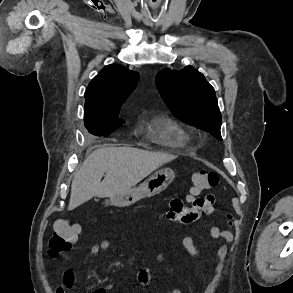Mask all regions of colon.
Here are the masks:
<instances>
[{
  "mask_svg": "<svg viewBox=\"0 0 293 293\" xmlns=\"http://www.w3.org/2000/svg\"><path fill=\"white\" fill-rule=\"evenodd\" d=\"M220 182V175L215 171L199 170L192 175L190 197L193 203H200V193L216 187ZM80 228L65 219H59L54 222L53 234L48 243V254L51 257H57L67 253L72 244L78 238Z\"/></svg>",
  "mask_w": 293,
  "mask_h": 293,
  "instance_id": "obj_1",
  "label": "colon"
}]
</instances>
